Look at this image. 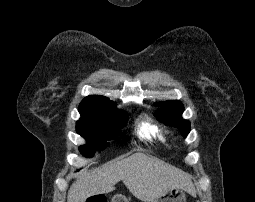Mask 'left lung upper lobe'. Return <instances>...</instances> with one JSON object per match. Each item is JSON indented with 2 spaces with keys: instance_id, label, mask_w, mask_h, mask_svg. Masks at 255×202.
Listing matches in <instances>:
<instances>
[{
  "instance_id": "obj_1",
  "label": "left lung upper lobe",
  "mask_w": 255,
  "mask_h": 202,
  "mask_svg": "<svg viewBox=\"0 0 255 202\" xmlns=\"http://www.w3.org/2000/svg\"><path fill=\"white\" fill-rule=\"evenodd\" d=\"M157 106H163L159 108L155 115L165 124L172 125L181 130L182 135L186 137L190 132V122L184 120L181 115L184 111L183 104L178 101H166L156 104Z\"/></svg>"
}]
</instances>
